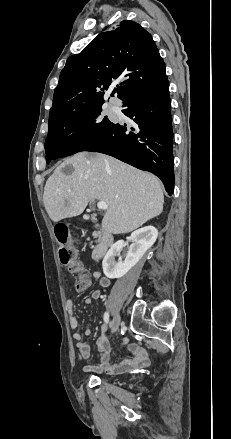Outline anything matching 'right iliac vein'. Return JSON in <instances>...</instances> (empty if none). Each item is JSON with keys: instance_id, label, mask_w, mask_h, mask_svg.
<instances>
[{"instance_id": "obj_1", "label": "right iliac vein", "mask_w": 231, "mask_h": 439, "mask_svg": "<svg viewBox=\"0 0 231 439\" xmlns=\"http://www.w3.org/2000/svg\"><path fill=\"white\" fill-rule=\"evenodd\" d=\"M120 315L118 313H115V315L113 316V319L111 321V332L115 333L120 325Z\"/></svg>"}]
</instances>
